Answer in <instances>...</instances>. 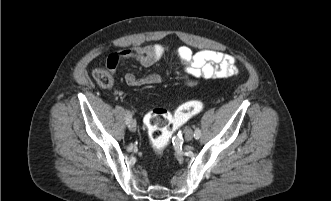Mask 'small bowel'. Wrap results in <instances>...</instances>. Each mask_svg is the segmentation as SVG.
<instances>
[{
    "label": "small bowel",
    "mask_w": 331,
    "mask_h": 201,
    "mask_svg": "<svg viewBox=\"0 0 331 201\" xmlns=\"http://www.w3.org/2000/svg\"><path fill=\"white\" fill-rule=\"evenodd\" d=\"M166 54L174 56L181 62L183 78L189 85L195 84L200 79L229 78L238 72L234 58L224 52L210 49L193 52L186 46L168 50L160 44L121 50L110 59L108 65L110 68H115L122 61L135 60L142 66L149 67L160 61ZM124 79L129 86L139 87L159 83L163 80V76L159 73H149L137 77L133 73H126Z\"/></svg>",
    "instance_id": "c3829d8e"
}]
</instances>
